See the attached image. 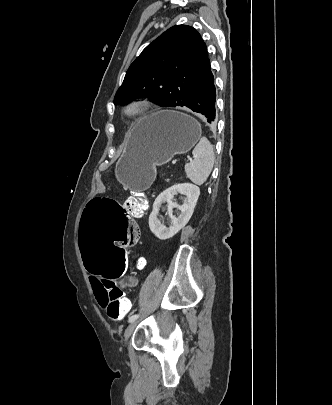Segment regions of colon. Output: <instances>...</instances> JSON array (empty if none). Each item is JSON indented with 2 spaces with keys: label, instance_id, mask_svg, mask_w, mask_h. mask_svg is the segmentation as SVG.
<instances>
[{
  "label": "colon",
  "instance_id": "1",
  "mask_svg": "<svg viewBox=\"0 0 332 405\" xmlns=\"http://www.w3.org/2000/svg\"><path fill=\"white\" fill-rule=\"evenodd\" d=\"M146 208V200L138 191L124 202V207L116 197H91L85 204L83 220L79 221L82 268L90 275H107L98 284L105 293L106 313L113 321L131 314L116 279L117 275H126V257L130 255L129 249H136L141 232L132 212L144 213ZM144 265V260L137 261L139 269Z\"/></svg>",
  "mask_w": 332,
  "mask_h": 405
}]
</instances>
